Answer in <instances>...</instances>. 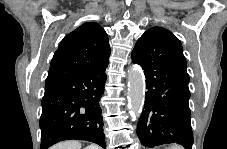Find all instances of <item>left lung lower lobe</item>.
Listing matches in <instances>:
<instances>
[{
	"label": "left lung lower lobe",
	"instance_id": "left-lung-lower-lobe-1",
	"mask_svg": "<svg viewBox=\"0 0 227 149\" xmlns=\"http://www.w3.org/2000/svg\"><path fill=\"white\" fill-rule=\"evenodd\" d=\"M144 69L145 105L137 135L145 147L178 143L192 149L187 63L171 35L161 27L146 31L131 54Z\"/></svg>",
	"mask_w": 227,
	"mask_h": 149
}]
</instances>
